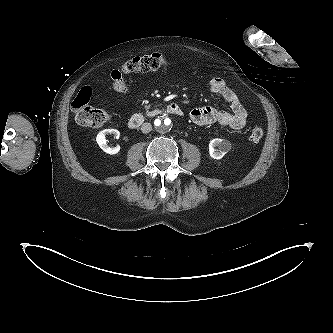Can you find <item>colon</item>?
Segmentation results:
<instances>
[{"mask_svg":"<svg viewBox=\"0 0 333 333\" xmlns=\"http://www.w3.org/2000/svg\"><path fill=\"white\" fill-rule=\"evenodd\" d=\"M164 54L153 53L150 55L137 56L125 62L119 69L111 72L110 78L112 87L118 92H124L127 88L125 77L136 72H147L159 69L171 64ZM93 95L91 87L82 88L72 102V112L79 125L92 127L100 126L110 118L108 112L91 106L90 101ZM264 136V130L255 126L250 132V140L259 142Z\"/></svg>","mask_w":333,"mask_h":333,"instance_id":"1","label":"colon"}]
</instances>
